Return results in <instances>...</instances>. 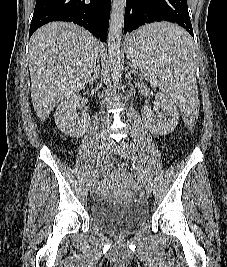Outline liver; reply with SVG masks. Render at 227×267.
Instances as JSON below:
<instances>
[{
  "label": "liver",
  "instance_id": "obj_1",
  "mask_svg": "<svg viewBox=\"0 0 227 267\" xmlns=\"http://www.w3.org/2000/svg\"><path fill=\"white\" fill-rule=\"evenodd\" d=\"M98 47L91 33L72 23L51 22L32 35L28 55L31 99L40 121L60 101L85 87Z\"/></svg>",
  "mask_w": 227,
  "mask_h": 267
}]
</instances>
